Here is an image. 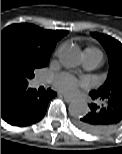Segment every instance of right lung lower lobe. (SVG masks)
Masks as SVG:
<instances>
[{"label": "right lung lower lobe", "instance_id": "right-lung-lower-lobe-1", "mask_svg": "<svg viewBox=\"0 0 122 154\" xmlns=\"http://www.w3.org/2000/svg\"><path fill=\"white\" fill-rule=\"evenodd\" d=\"M48 89L44 93L25 86H6L1 88V118L13 126H29L40 121L48 102L56 96Z\"/></svg>", "mask_w": 122, "mask_h": 154}]
</instances>
